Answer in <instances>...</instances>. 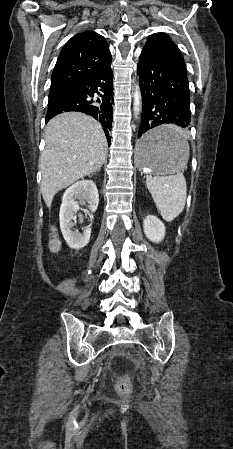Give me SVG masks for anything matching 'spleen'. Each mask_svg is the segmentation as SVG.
<instances>
[{"instance_id": "spleen-1", "label": "spleen", "mask_w": 233, "mask_h": 449, "mask_svg": "<svg viewBox=\"0 0 233 449\" xmlns=\"http://www.w3.org/2000/svg\"><path fill=\"white\" fill-rule=\"evenodd\" d=\"M176 130L183 137L182 132ZM146 185L163 219L170 222L179 216L186 203V183L179 169L171 175L148 176Z\"/></svg>"}]
</instances>
